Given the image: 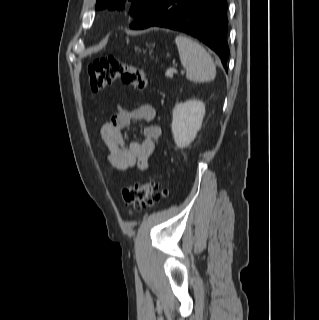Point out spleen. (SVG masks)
<instances>
[{"instance_id":"3e777b00","label":"spleen","mask_w":319,"mask_h":320,"mask_svg":"<svg viewBox=\"0 0 319 320\" xmlns=\"http://www.w3.org/2000/svg\"><path fill=\"white\" fill-rule=\"evenodd\" d=\"M186 77L194 82H209L215 78L216 67L211 56L198 42L184 36L175 38Z\"/></svg>"}]
</instances>
